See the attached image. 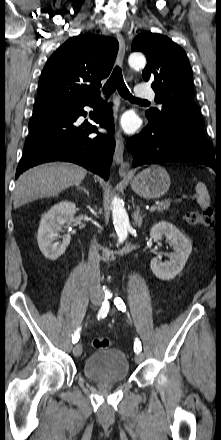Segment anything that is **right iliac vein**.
Here are the masks:
<instances>
[{
	"mask_svg": "<svg viewBox=\"0 0 221 440\" xmlns=\"http://www.w3.org/2000/svg\"><path fill=\"white\" fill-rule=\"evenodd\" d=\"M93 304L95 306H99L100 302L99 301H93ZM73 354L74 356L78 357L82 354V345L81 344H76L73 348Z\"/></svg>",
	"mask_w": 221,
	"mask_h": 440,
	"instance_id": "obj_1",
	"label": "right iliac vein"
}]
</instances>
